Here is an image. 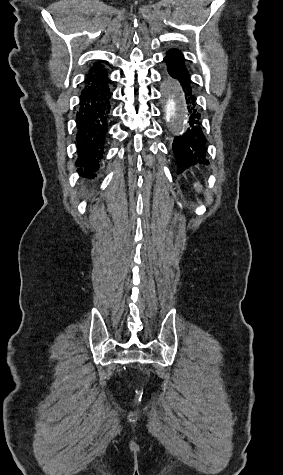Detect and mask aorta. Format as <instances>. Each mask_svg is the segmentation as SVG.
<instances>
[{
  "label": "aorta",
  "instance_id": "obj_1",
  "mask_svg": "<svg viewBox=\"0 0 283 475\" xmlns=\"http://www.w3.org/2000/svg\"><path fill=\"white\" fill-rule=\"evenodd\" d=\"M167 100L165 103V117L167 122L183 132L188 126V116L183 101L182 91L175 81L167 80L165 82Z\"/></svg>",
  "mask_w": 283,
  "mask_h": 475
}]
</instances>
